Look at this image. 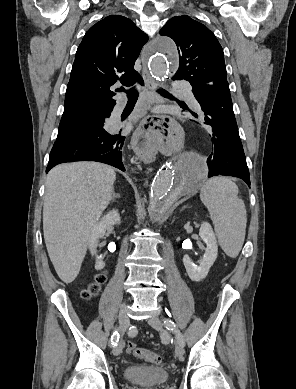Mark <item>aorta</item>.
I'll use <instances>...</instances> for the list:
<instances>
[{"mask_svg":"<svg viewBox=\"0 0 296 389\" xmlns=\"http://www.w3.org/2000/svg\"><path fill=\"white\" fill-rule=\"evenodd\" d=\"M150 71L159 80L178 73V52L175 43L168 38H157L153 44ZM207 173L205 159L189 155L178 168L166 163L157 172L150 189L149 216L158 221L182 195L192 193Z\"/></svg>","mask_w":296,"mask_h":389,"instance_id":"1","label":"aorta"}]
</instances>
